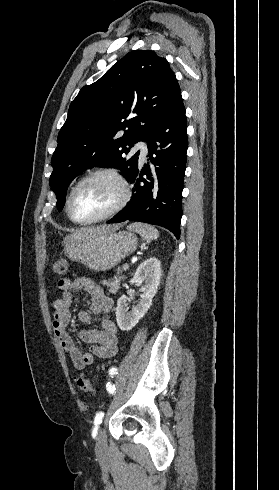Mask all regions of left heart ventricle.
<instances>
[{"mask_svg": "<svg viewBox=\"0 0 279 490\" xmlns=\"http://www.w3.org/2000/svg\"><path fill=\"white\" fill-rule=\"evenodd\" d=\"M120 188L110 177L85 181L77 190L73 211L77 220H89L108 210L120 197Z\"/></svg>", "mask_w": 279, "mask_h": 490, "instance_id": "obj_1", "label": "left heart ventricle"}]
</instances>
